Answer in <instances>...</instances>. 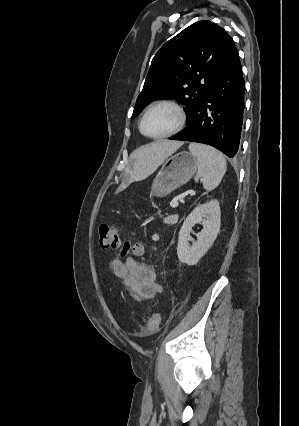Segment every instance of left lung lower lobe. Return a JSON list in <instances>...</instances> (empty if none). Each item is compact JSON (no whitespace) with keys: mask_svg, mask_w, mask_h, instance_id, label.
<instances>
[{"mask_svg":"<svg viewBox=\"0 0 299 426\" xmlns=\"http://www.w3.org/2000/svg\"><path fill=\"white\" fill-rule=\"evenodd\" d=\"M245 84L236 50L220 69L204 98L188 120V126L171 140L211 145L235 157L243 124Z\"/></svg>","mask_w":299,"mask_h":426,"instance_id":"1","label":"left lung lower lobe"}]
</instances>
